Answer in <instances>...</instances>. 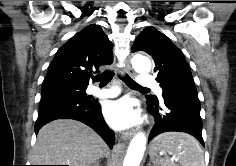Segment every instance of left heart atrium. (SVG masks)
Masks as SVG:
<instances>
[{"label":"left heart atrium","instance_id":"39dd6f15","mask_svg":"<svg viewBox=\"0 0 236 166\" xmlns=\"http://www.w3.org/2000/svg\"><path fill=\"white\" fill-rule=\"evenodd\" d=\"M103 113L108 124L120 130L132 127L140 120L139 112L128 98L108 102Z\"/></svg>","mask_w":236,"mask_h":166}]
</instances>
